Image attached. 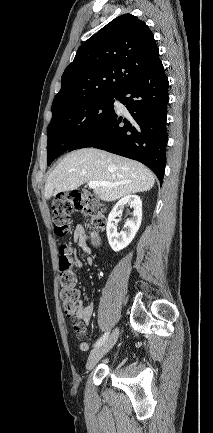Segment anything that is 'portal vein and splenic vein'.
Here are the masks:
<instances>
[{"instance_id":"1","label":"portal vein and splenic vein","mask_w":213,"mask_h":433,"mask_svg":"<svg viewBox=\"0 0 213 433\" xmlns=\"http://www.w3.org/2000/svg\"><path fill=\"white\" fill-rule=\"evenodd\" d=\"M88 185H89V188H91V189H96V188L99 187V186H110L109 183H106V182H98V181H90V182L88 183Z\"/></svg>"}]
</instances>
